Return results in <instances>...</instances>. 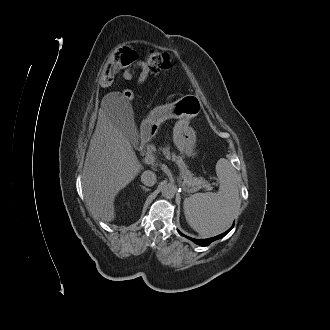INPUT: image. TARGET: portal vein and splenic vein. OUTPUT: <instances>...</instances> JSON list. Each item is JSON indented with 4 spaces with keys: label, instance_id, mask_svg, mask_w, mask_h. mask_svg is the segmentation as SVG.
Wrapping results in <instances>:
<instances>
[{
    "label": "portal vein and splenic vein",
    "instance_id": "obj_1",
    "mask_svg": "<svg viewBox=\"0 0 330 330\" xmlns=\"http://www.w3.org/2000/svg\"><path fill=\"white\" fill-rule=\"evenodd\" d=\"M144 160H145V162H146L147 164H153V163L156 162V158H155V156H153V155H151V154L146 155L145 158H144ZM210 188H211V187H210ZM187 191H188L189 193H193V192L196 191V190H195V189H188Z\"/></svg>",
    "mask_w": 330,
    "mask_h": 330
}]
</instances>
